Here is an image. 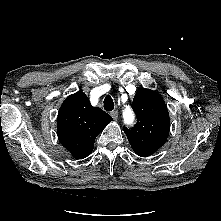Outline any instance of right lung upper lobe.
I'll return each mask as SVG.
<instances>
[{"mask_svg":"<svg viewBox=\"0 0 221 221\" xmlns=\"http://www.w3.org/2000/svg\"><path fill=\"white\" fill-rule=\"evenodd\" d=\"M112 121L99 107H92L83 92L70 95L61 105L57 134L61 144L76 159L87 157L97 135Z\"/></svg>","mask_w":221,"mask_h":221,"instance_id":"cb5924a9","label":"right lung upper lobe"}]
</instances>
